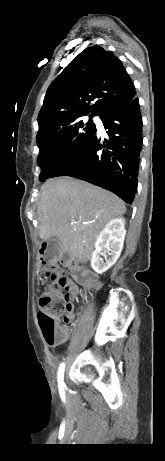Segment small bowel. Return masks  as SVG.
I'll list each match as a JSON object with an SVG mask.
<instances>
[{"label":"small bowel","instance_id":"c3829d8e","mask_svg":"<svg viewBox=\"0 0 165 461\" xmlns=\"http://www.w3.org/2000/svg\"><path fill=\"white\" fill-rule=\"evenodd\" d=\"M83 269H84L83 263H68L67 264V269L65 270L66 273L64 274V277L68 280L69 289L68 291H63L62 301L64 303L65 309H70V311L69 313L61 314L62 324H71L73 317H74L73 316V309L75 307L74 298L78 292L77 284L69 280V278L71 277V274L68 271H82ZM88 279L94 280L96 279V276L94 274H89V275L80 274L79 275V280L81 282H87ZM59 331L61 333V338L56 344V346L66 343L71 335V329L66 325L61 326Z\"/></svg>","mask_w":165,"mask_h":461}]
</instances>
